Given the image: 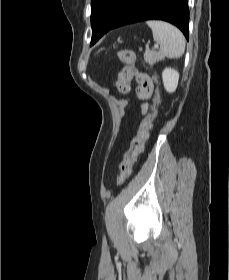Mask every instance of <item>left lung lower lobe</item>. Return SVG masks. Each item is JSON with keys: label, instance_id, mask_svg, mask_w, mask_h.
<instances>
[{"label": "left lung lower lobe", "instance_id": "left-lung-lower-lobe-1", "mask_svg": "<svg viewBox=\"0 0 229 280\" xmlns=\"http://www.w3.org/2000/svg\"><path fill=\"white\" fill-rule=\"evenodd\" d=\"M153 19L167 21L177 26L188 40V0H132L125 14L112 29ZM97 41L91 42L90 45Z\"/></svg>", "mask_w": 229, "mask_h": 280}]
</instances>
